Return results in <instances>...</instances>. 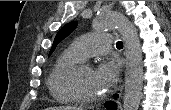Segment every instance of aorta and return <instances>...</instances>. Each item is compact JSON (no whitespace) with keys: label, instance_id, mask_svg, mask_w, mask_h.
Masks as SVG:
<instances>
[{"label":"aorta","instance_id":"aorta-1","mask_svg":"<svg viewBox=\"0 0 171 110\" xmlns=\"http://www.w3.org/2000/svg\"><path fill=\"white\" fill-rule=\"evenodd\" d=\"M97 31L117 29L127 44V68L124 84V110H138L143 87L141 43L133 23L120 13L101 14L94 20Z\"/></svg>","mask_w":171,"mask_h":110}]
</instances>
